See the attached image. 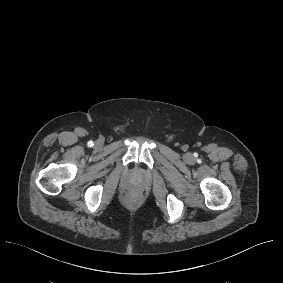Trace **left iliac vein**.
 I'll return each mask as SVG.
<instances>
[{"mask_svg": "<svg viewBox=\"0 0 283 283\" xmlns=\"http://www.w3.org/2000/svg\"><path fill=\"white\" fill-rule=\"evenodd\" d=\"M187 159L190 160V155H187Z\"/></svg>", "mask_w": 283, "mask_h": 283, "instance_id": "obj_1", "label": "left iliac vein"}]
</instances>
